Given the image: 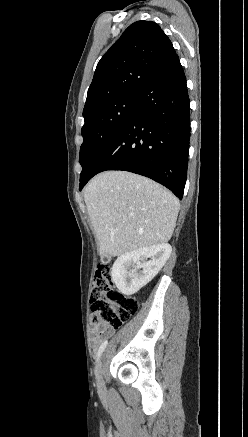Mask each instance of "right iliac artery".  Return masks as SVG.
<instances>
[{"mask_svg": "<svg viewBox=\"0 0 248 437\" xmlns=\"http://www.w3.org/2000/svg\"><path fill=\"white\" fill-rule=\"evenodd\" d=\"M108 344V341L105 340L99 347V350L97 352V360L99 359V357L101 356L102 352L105 350L106 346Z\"/></svg>", "mask_w": 248, "mask_h": 437, "instance_id": "obj_1", "label": "right iliac artery"}]
</instances>
